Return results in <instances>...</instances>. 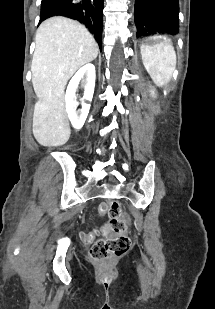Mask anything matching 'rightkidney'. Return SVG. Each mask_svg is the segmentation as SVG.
Listing matches in <instances>:
<instances>
[{
	"label": "right kidney",
	"mask_w": 215,
	"mask_h": 309,
	"mask_svg": "<svg viewBox=\"0 0 215 309\" xmlns=\"http://www.w3.org/2000/svg\"><path fill=\"white\" fill-rule=\"evenodd\" d=\"M84 74H86L87 76V82L83 98H86V100H92L95 86L96 70L94 64H90V62H88V64H84L82 68H79V70H77L76 74H74L73 78H71L65 94L66 110L74 128H82L90 108V104H87V102H82L81 114L80 116H77L76 106L78 102L77 100H75V92Z\"/></svg>",
	"instance_id": "1"
}]
</instances>
